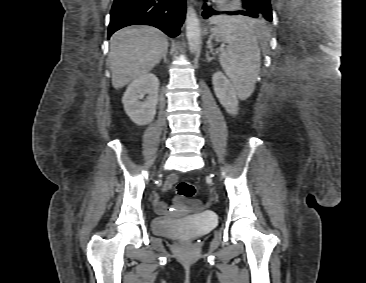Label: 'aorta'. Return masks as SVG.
<instances>
[{"mask_svg":"<svg viewBox=\"0 0 366 283\" xmlns=\"http://www.w3.org/2000/svg\"><path fill=\"white\" fill-rule=\"evenodd\" d=\"M186 36L190 52L196 53L200 45V21L191 5L188 6L186 14Z\"/></svg>","mask_w":366,"mask_h":283,"instance_id":"aorta-1","label":"aorta"}]
</instances>
